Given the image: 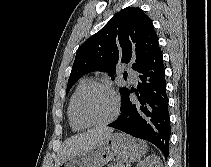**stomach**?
I'll use <instances>...</instances> for the list:
<instances>
[{
    "mask_svg": "<svg viewBox=\"0 0 211 167\" xmlns=\"http://www.w3.org/2000/svg\"><path fill=\"white\" fill-rule=\"evenodd\" d=\"M146 152V144L126 134H110L91 150L75 155L58 167H103L110 161L118 164L140 160Z\"/></svg>",
    "mask_w": 211,
    "mask_h": 167,
    "instance_id": "stomach-1",
    "label": "stomach"
}]
</instances>
